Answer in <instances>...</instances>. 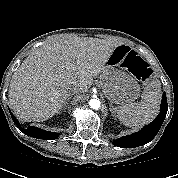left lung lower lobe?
<instances>
[{"mask_svg":"<svg viewBox=\"0 0 178 178\" xmlns=\"http://www.w3.org/2000/svg\"><path fill=\"white\" fill-rule=\"evenodd\" d=\"M168 110L166 94L163 93L160 114L148 126L144 127L140 132L118 138L114 141V145L122 148H133L147 144L158 133Z\"/></svg>","mask_w":178,"mask_h":178,"instance_id":"0a47b994","label":"left lung lower lobe"}]
</instances>
